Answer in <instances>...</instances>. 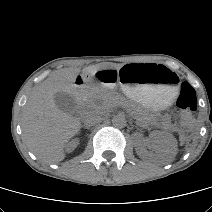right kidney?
Instances as JSON below:
<instances>
[{"instance_id":"1","label":"right kidney","mask_w":212,"mask_h":212,"mask_svg":"<svg viewBox=\"0 0 212 212\" xmlns=\"http://www.w3.org/2000/svg\"><path fill=\"white\" fill-rule=\"evenodd\" d=\"M79 144V140L78 139H74L72 140L68 145H67V151L68 152H72L77 145Z\"/></svg>"}]
</instances>
